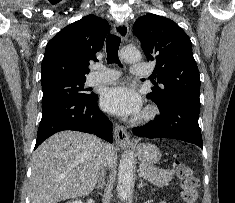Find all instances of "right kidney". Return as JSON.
Segmentation results:
<instances>
[{
    "mask_svg": "<svg viewBox=\"0 0 235 203\" xmlns=\"http://www.w3.org/2000/svg\"><path fill=\"white\" fill-rule=\"evenodd\" d=\"M69 203H83V202L81 200H75V201H72ZM86 203H95V201L93 199H89V200H87Z\"/></svg>",
    "mask_w": 235,
    "mask_h": 203,
    "instance_id": "obj_1",
    "label": "right kidney"
}]
</instances>
